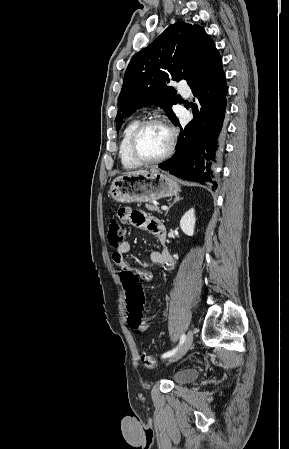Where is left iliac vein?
Segmentation results:
<instances>
[{
  "instance_id": "obj_1",
  "label": "left iliac vein",
  "mask_w": 289,
  "mask_h": 449,
  "mask_svg": "<svg viewBox=\"0 0 289 449\" xmlns=\"http://www.w3.org/2000/svg\"><path fill=\"white\" fill-rule=\"evenodd\" d=\"M192 342H193V332L192 330H189L185 338V341L183 342L179 350H177V352L169 358L168 362L173 363L182 358L190 349Z\"/></svg>"
}]
</instances>
